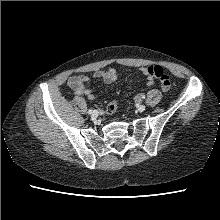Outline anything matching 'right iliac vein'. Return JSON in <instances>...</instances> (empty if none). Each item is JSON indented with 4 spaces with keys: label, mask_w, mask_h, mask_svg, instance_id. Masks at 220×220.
Wrapping results in <instances>:
<instances>
[{
    "label": "right iliac vein",
    "mask_w": 220,
    "mask_h": 220,
    "mask_svg": "<svg viewBox=\"0 0 220 220\" xmlns=\"http://www.w3.org/2000/svg\"><path fill=\"white\" fill-rule=\"evenodd\" d=\"M98 117V112L97 111H93L92 113H91V118L92 119H96Z\"/></svg>",
    "instance_id": "63e3f726"
}]
</instances>
